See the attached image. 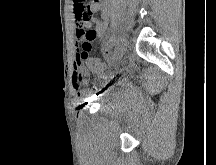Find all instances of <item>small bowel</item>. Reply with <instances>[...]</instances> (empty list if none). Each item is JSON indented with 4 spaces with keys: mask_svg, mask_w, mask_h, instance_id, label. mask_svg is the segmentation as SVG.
Masks as SVG:
<instances>
[{
    "mask_svg": "<svg viewBox=\"0 0 216 165\" xmlns=\"http://www.w3.org/2000/svg\"><path fill=\"white\" fill-rule=\"evenodd\" d=\"M102 11L104 21H100L96 18L90 17L89 19H83L82 13H94ZM73 13L76 24V38L78 41H83L84 30H94L95 37L90 40L92 42L97 36L104 35L106 31L107 9L103 0H93L91 5H86L84 0H73ZM82 82L81 75H75L73 80V88L75 92L80 95V84Z\"/></svg>",
    "mask_w": 216,
    "mask_h": 165,
    "instance_id": "small-bowel-1",
    "label": "small bowel"
}]
</instances>
